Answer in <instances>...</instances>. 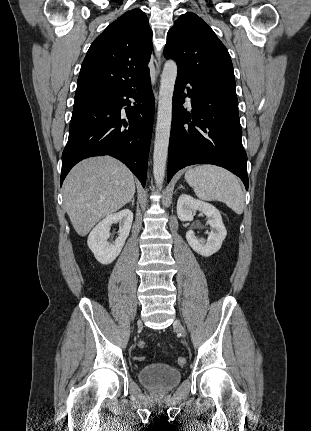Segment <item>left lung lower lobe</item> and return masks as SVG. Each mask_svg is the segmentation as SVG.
I'll return each instance as SVG.
<instances>
[{
    "label": "left lung lower lobe",
    "instance_id": "0a47b994",
    "mask_svg": "<svg viewBox=\"0 0 311 431\" xmlns=\"http://www.w3.org/2000/svg\"><path fill=\"white\" fill-rule=\"evenodd\" d=\"M192 89L183 94L186 85ZM191 98L192 110L183 107ZM235 88L198 82L177 74L169 140L168 182L181 168L214 164L240 177L248 190L247 155L242 145Z\"/></svg>",
    "mask_w": 311,
    "mask_h": 431
}]
</instances>
